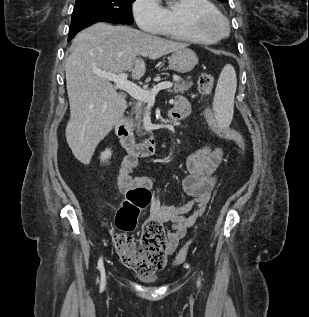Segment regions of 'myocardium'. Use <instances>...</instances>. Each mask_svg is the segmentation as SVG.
<instances>
[{
  "instance_id": "1",
  "label": "myocardium",
  "mask_w": 309,
  "mask_h": 317,
  "mask_svg": "<svg viewBox=\"0 0 309 317\" xmlns=\"http://www.w3.org/2000/svg\"><path fill=\"white\" fill-rule=\"evenodd\" d=\"M185 23L193 34L212 41L224 38L229 32L227 18L215 8L191 9L186 14Z\"/></svg>"
}]
</instances>
